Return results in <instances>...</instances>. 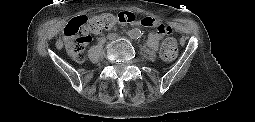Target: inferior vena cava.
<instances>
[{"label": "inferior vena cava", "mask_w": 255, "mask_h": 122, "mask_svg": "<svg viewBox=\"0 0 255 122\" xmlns=\"http://www.w3.org/2000/svg\"><path fill=\"white\" fill-rule=\"evenodd\" d=\"M118 37V35L116 33H111V34H108V39L110 40H114Z\"/></svg>", "instance_id": "inferior-vena-cava-1"}]
</instances>
